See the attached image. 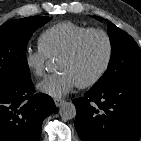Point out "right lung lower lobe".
<instances>
[{"mask_svg": "<svg viewBox=\"0 0 141 141\" xmlns=\"http://www.w3.org/2000/svg\"><path fill=\"white\" fill-rule=\"evenodd\" d=\"M56 109L46 94H34L31 79L0 83V141H39L43 120Z\"/></svg>", "mask_w": 141, "mask_h": 141, "instance_id": "1", "label": "right lung lower lobe"}]
</instances>
